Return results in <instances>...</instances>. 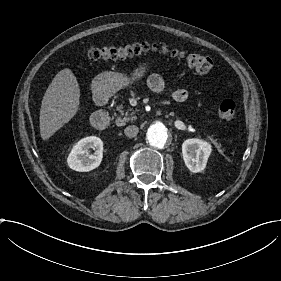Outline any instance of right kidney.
<instances>
[{
    "mask_svg": "<svg viewBox=\"0 0 281 281\" xmlns=\"http://www.w3.org/2000/svg\"><path fill=\"white\" fill-rule=\"evenodd\" d=\"M89 148L95 153L89 154ZM103 142L99 137L88 136L78 141L67 157V165L77 172H88L98 168L102 161ZM86 155L87 157H84Z\"/></svg>",
    "mask_w": 281,
    "mask_h": 281,
    "instance_id": "obj_1",
    "label": "right kidney"
}]
</instances>
